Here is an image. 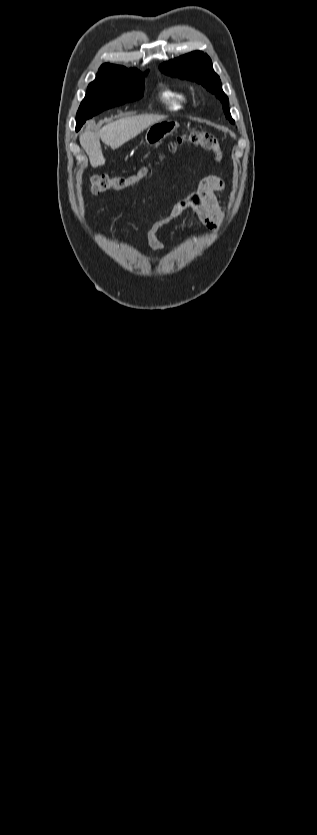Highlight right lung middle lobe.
I'll use <instances>...</instances> for the list:
<instances>
[{"mask_svg": "<svg viewBox=\"0 0 317 835\" xmlns=\"http://www.w3.org/2000/svg\"><path fill=\"white\" fill-rule=\"evenodd\" d=\"M144 75L138 71L118 70L97 76L88 86L76 117V131L94 115L143 96Z\"/></svg>", "mask_w": 317, "mask_h": 835, "instance_id": "1", "label": "right lung middle lobe"}]
</instances>
